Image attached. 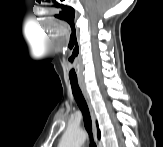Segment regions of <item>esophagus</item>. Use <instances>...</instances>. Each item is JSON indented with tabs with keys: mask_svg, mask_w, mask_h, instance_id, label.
<instances>
[{
	"mask_svg": "<svg viewBox=\"0 0 163 147\" xmlns=\"http://www.w3.org/2000/svg\"><path fill=\"white\" fill-rule=\"evenodd\" d=\"M80 87H81L82 93H83V95H84V97L86 99V102H87V105H88V108H89V111H90V115H91L92 123H93L94 139H95V141H97V129H96V125H95L94 110H93L89 95L87 93L86 86H85V84L83 82L80 83Z\"/></svg>",
	"mask_w": 163,
	"mask_h": 147,
	"instance_id": "esophagus-1",
	"label": "esophagus"
}]
</instances>
